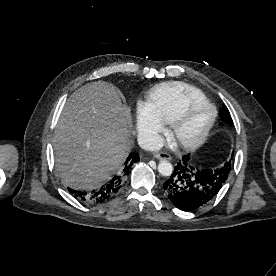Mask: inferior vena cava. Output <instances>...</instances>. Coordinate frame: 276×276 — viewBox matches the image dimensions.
<instances>
[{"instance_id":"obj_1","label":"inferior vena cava","mask_w":276,"mask_h":276,"mask_svg":"<svg viewBox=\"0 0 276 276\" xmlns=\"http://www.w3.org/2000/svg\"><path fill=\"white\" fill-rule=\"evenodd\" d=\"M139 146L148 151H158L163 147V139L157 133H142L138 136Z\"/></svg>"}]
</instances>
